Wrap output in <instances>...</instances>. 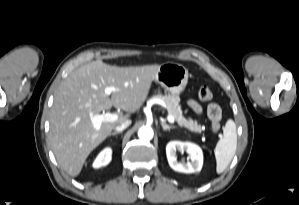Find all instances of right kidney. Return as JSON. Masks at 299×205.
<instances>
[{"label": "right kidney", "instance_id": "obj_1", "mask_svg": "<svg viewBox=\"0 0 299 205\" xmlns=\"http://www.w3.org/2000/svg\"><path fill=\"white\" fill-rule=\"evenodd\" d=\"M112 151L110 148H106L99 153L95 161L93 162L94 168H100L106 166L111 161Z\"/></svg>", "mask_w": 299, "mask_h": 205}]
</instances>
